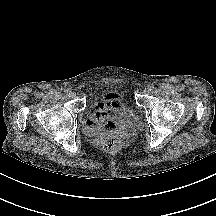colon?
I'll return each instance as SVG.
<instances>
[{"mask_svg": "<svg viewBox=\"0 0 216 216\" xmlns=\"http://www.w3.org/2000/svg\"><path fill=\"white\" fill-rule=\"evenodd\" d=\"M103 147L109 152H115L124 147V142L117 135H109L103 140Z\"/></svg>", "mask_w": 216, "mask_h": 216, "instance_id": "colon-1", "label": "colon"}]
</instances>
